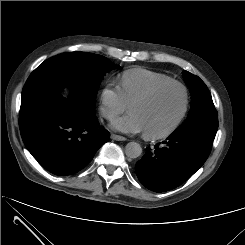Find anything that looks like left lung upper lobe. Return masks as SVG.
<instances>
[{
    "label": "left lung upper lobe",
    "instance_id": "1",
    "mask_svg": "<svg viewBox=\"0 0 245 245\" xmlns=\"http://www.w3.org/2000/svg\"><path fill=\"white\" fill-rule=\"evenodd\" d=\"M191 92V111L185 122L172 134L197 133L214 140L218 115L205 83L188 71H183Z\"/></svg>",
    "mask_w": 245,
    "mask_h": 245
}]
</instances>
